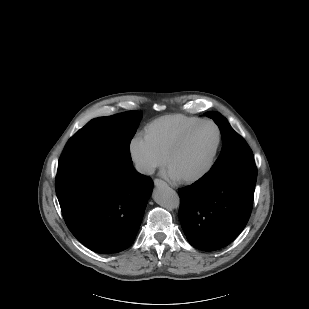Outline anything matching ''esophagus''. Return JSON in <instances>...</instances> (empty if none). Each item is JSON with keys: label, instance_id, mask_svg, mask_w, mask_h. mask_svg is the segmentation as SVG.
Instances as JSON below:
<instances>
[{"label": "esophagus", "instance_id": "esophagus-1", "mask_svg": "<svg viewBox=\"0 0 309 309\" xmlns=\"http://www.w3.org/2000/svg\"><path fill=\"white\" fill-rule=\"evenodd\" d=\"M154 185L156 187H160V186H166L167 184L163 180L157 178L154 180Z\"/></svg>", "mask_w": 309, "mask_h": 309}]
</instances>
